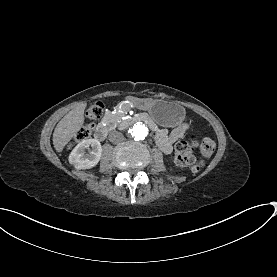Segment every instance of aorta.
Listing matches in <instances>:
<instances>
[{"mask_svg": "<svg viewBox=\"0 0 277 277\" xmlns=\"http://www.w3.org/2000/svg\"><path fill=\"white\" fill-rule=\"evenodd\" d=\"M128 133L134 140L140 141L148 135V128L145 124L138 122L129 128Z\"/></svg>", "mask_w": 277, "mask_h": 277, "instance_id": "obj_1", "label": "aorta"}]
</instances>
